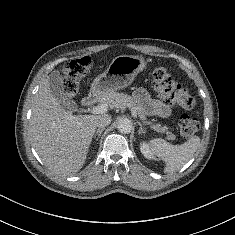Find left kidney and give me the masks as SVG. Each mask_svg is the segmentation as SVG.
Here are the masks:
<instances>
[{
    "label": "left kidney",
    "instance_id": "left-kidney-1",
    "mask_svg": "<svg viewBox=\"0 0 235 235\" xmlns=\"http://www.w3.org/2000/svg\"><path fill=\"white\" fill-rule=\"evenodd\" d=\"M140 151L144 155L145 158L149 160L155 159L154 154L149 146L145 141H142L140 143Z\"/></svg>",
    "mask_w": 235,
    "mask_h": 235
}]
</instances>
